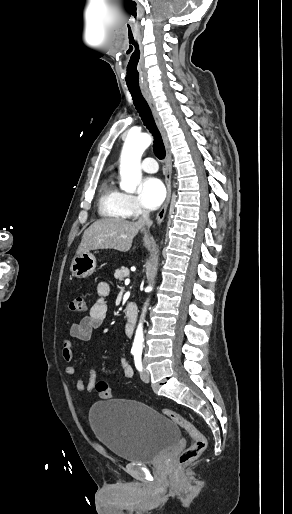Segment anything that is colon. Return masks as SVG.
Listing matches in <instances>:
<instances>
[{"mask_svg": "<svg viewBox=\"0 0 292 514\" xmlns=\"http://www.w3.org/2000/svg\"><path fill=\"white\" fill-rule=\"evenodd\" d=\"M87 309L86 301L83 297H76L70 300L67 310L70 313L84 312ZM96 391L103 400L112 397V391L105 380H99L96 384ZM162 414L173 423L184 429L192 439V445L182 450L179 455V463L185 464L196 460L206 450L205 435L196 427V425L182 416L175 410L163 409Z\"/></svg>", "mask_w": 292, "mask_h": 514, "instance_id": "5ec220e1", "label": "colon"}]
</instances>
